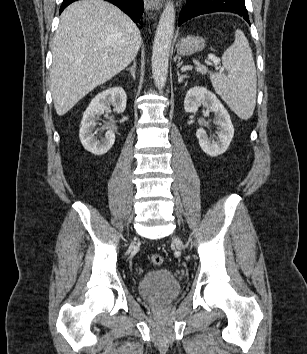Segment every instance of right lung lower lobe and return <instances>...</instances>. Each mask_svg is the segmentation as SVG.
I'll list each match as a JSON object with an SVG mask.
<instances>
[{"instance_id":"right-lung-lower-lobe-1","label":"right lung lower lobe","mask_w":307,"mask_h":354,"mask_svg":"<svg viewBox=\"0 0 307 354\" xmlns=\"http://www.w3.org/2000/svg\"><path fill=\"white\" fill-rule=\"evenodd\" d=\"M77 0H63L60 11L62 12L69 4ZM119 7L135 23L140 22L144 11L143 0H106ZM142 24V22H140Z\"/></svg>"}]
</instances>
